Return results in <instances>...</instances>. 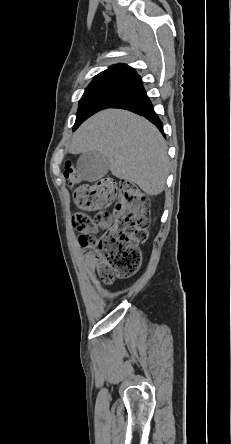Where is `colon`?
<instances>
[{
	"instance_id": "5ec220e1",
	"label": "colon",
	"mask_w": 231,
	"mask_h": 444,
	"mask_svg": "<svg viewBox=\"0 0 231 444\" xmlns=\"http://www.w3.org/2000/svg\"><path fill=\"white\" fill-rule=\"evenodd\" d=\"M65 176L72 186L80 181L69 162ZM116 198L118 201L111 215L105 209ZM73 199L80 209L95 212L92 216L85 212L76 213L73 224L82 233L83 246L99 253L105 263L101 282L111 284L115 278L133 276L142 262L139 245L148 236L150 206L147 196L129 182L118 188L113 179L104 178L94 184L77 185ZM100 232L102 234L97 237Z\"/></svg>"
}]
</instances>
